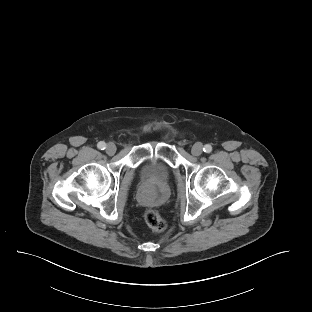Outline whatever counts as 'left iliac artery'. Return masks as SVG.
<instances>
[{
  "label": "left iliac artery",
  "mask_w": 312,
  "mask_h": 312,
  "mask_svg": "<svg viewBox=\"0 0 312 312\" xmlns=\"http://www.w3.org/2000/svg\"><path fill=\"white\" fill-rule=\"evenodd\" d=\"M203 151L206 153H210L212 151V146L209 144H206L203 148Z\"/></svg>",
  "instance_id": "obj_1"
}]
</instances>
